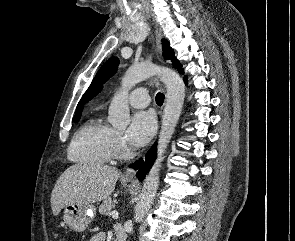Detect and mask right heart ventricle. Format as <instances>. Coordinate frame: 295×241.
<instances>
[{
    "mask_svg": "<svg viewBox=\"0 0 295 241\" xmlns=\"http://www.w3.org/2000/svg\"><path fill=\"white\" fill-rule=\"evenodd\" d=\"M115 132L100 118H91L76 132L68 149L71 161L83 165H102L112 158Z\"/></svg>",
    "mask_w": 295,
    "mask_h": 241,
    "instance_id": "e07e8e85",
    "label": "right heart ventricle"
}]
</instances>
